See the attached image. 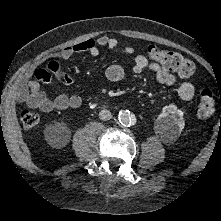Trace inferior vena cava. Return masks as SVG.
Masks as SVG:
<instances>
[{
  "label": "inferior vena cava",
  "mask_w": 221,
  "mask_h": 221,
  "mask_svg": "<svg viewBox=\"0 0 221 221\" xmlns=\"http://www.w3.org/2000/svg\"><path fill=\"white\" fill-rule=\"evenodd\" d=\"M99 118L106 121L112 118V114L109 110L104 109L99 112Z\"/></svg>",
  "instance_id": "obj_1"
}]
</instances>
